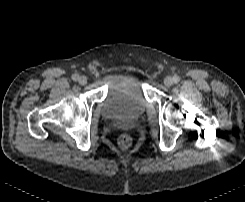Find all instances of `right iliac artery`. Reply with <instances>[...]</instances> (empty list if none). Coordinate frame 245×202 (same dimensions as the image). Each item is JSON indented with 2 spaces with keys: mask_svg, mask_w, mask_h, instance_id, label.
I'll use <instances>...</instances> for the list:
<instances>
[{
  "mask_svg": "<svg viewBox=\"0 0 245 202\" xmlns=\"http://www.w3.org/2000/svg\"><path fill=\"white\" fill-rule=\"evenodd\" d=\"M72 79H73L74 81H77V80L79 79V75H78V74H73V75H72Z\"/></svg>",
  "mask_w": 245,
  "mask_h": 202,
  "instance_id": "82829eb1",
  "label": "right iliac artery"
}]
</instances>
